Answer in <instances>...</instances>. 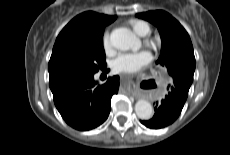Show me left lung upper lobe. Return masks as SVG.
<instances>
[{
	"mask_svg": "<svg viewBox=\"0 0 230 155\" xmlns=\"http://www.w3.org/2000/svg\"><path fill=\"white\" fill-rule=\"evenodd\" d=\"M136 16L151 22L160 32L162 50L157 63L166 66L173 79L192 84L195 57L191 39L183 26L162 10L138 13Z\"/></svg>",
	"mask_w": 230,
	"mask_h": 155,
	"instance_id": "obj_1",
	"label": "left lung upper lobe"
}]
</instances>
